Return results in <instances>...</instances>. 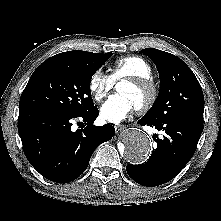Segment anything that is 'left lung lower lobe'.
Listing matches in <instances>:
<instances>
[{"mask_svg":"<svg viewBox=\"0 0 221 221\" xmlns=\"http://www.w3.org/2000/svg\"><path fill=\"white\" fill-rule=\"evenodd\" d=\"M140 125L155 127L164 132L163 139L154 138L157 147L145 163L128 164V175L143 186H158L173 179L192 158L203 131V123L172 116L160 122L141 118Z\"/></svg>","mask_w":221,"mask_h":221,"instance_id":"0a47b994","label":"left lung lower lobe"}]
</instances>
